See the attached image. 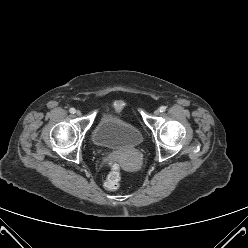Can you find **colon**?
Returning a JSON list of instances; mask_svg holds the SVG:
<instances>
[{
    "label": "colon",
    "mask_w": 248,
    "mask_h": 248,
    "mask_svg": "<svg viewBox=\"0 0 248 248\" xmlns=\"http://www.w3.org/2000/svg\"><path fill=\"white\" fill-rule=\"evenodd\" d=\"M111 166H112V171L107 177V180L105 182V187L108 190H116L120 185L121 173H120L119 165L117 163L112 162Z\"/></svg>",
    "instance_id": "1"
}]
</instances>
